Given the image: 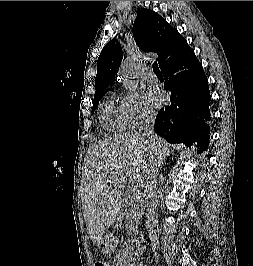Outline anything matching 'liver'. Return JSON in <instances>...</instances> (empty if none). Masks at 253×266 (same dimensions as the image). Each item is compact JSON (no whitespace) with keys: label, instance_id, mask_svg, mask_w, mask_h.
Returning <instances> with one entry per match:
<instances>
[{"label":"liver","instance_id":"liver-1","mask_svg":"<svg viewBox=\"0 0 253 266\" xmlns=\"http://www.w3.org/2000/svg\"><path fill=\"white\" fill-rule=\"evenodd\" d=\"M169 154L170 147L160 136L155 135L150 143L136 131L89 146L82 181L83 215L93 242H98L118 217L127 179L143 182Z\"/></svg>","mask_w":253,"mask_h":266}]
</instances>
